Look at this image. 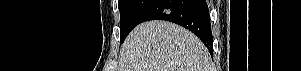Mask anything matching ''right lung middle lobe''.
<instances>
[{
	"label": "right lung middle lobe",
	"instance_id": "dd1d6c3e",
	"mask_svg": "<svg viewBox=\"0 0 301 71\" xmlns=\"http://www.w3.org/2000/svg\"><path fill=\"white\" fill-rule=\"evenodd\" d=\"M156 0H119L120 41L125 40L130 31L140 23L146 10Z\"/></svg>",
	"mask_w": 301,
	"mask_h": 71
}]
</instances>
